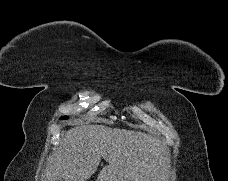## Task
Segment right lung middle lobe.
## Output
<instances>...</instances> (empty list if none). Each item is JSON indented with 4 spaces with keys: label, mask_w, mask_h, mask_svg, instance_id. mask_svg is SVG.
<instances>
[{
    "label": "right lung middle lobe",
    "mask_w": 228,
    "mask_h": 181,
    "mask_svg": "<svg viewBox=\"0 0 228 181\" xmlns=\"http://www.w3.org/2000/svg\"><path fill=\"white\" fill-rule=\"evenodd\" d=\"M68 117H61L60 119H67Z\"/></svg>",
    "instance_id": "right-lung-middle-lobe-1"
}]
</instances>
